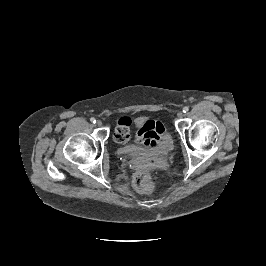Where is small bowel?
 I'll return each mask as SVG.
<instances>
[{
  "instance_id": "c3829d8e",
  "label": "small bowel",
  "mask_w": 266,
  "mask_h": 266,
  "mask_svg": "<svg viewBox=\"0 0 266 266\" xmlns=\"http://www.w3.org/2000/svg\"><path fill=\"white\" fill-rule=\"evenodd\" d=\"M130 126L131 120L128 117H122L118 120L114 134L118 142L126 143L131 139ZM165 132L164 125L156 120H146L140 125L135 141L150 150V153H148V166L150 167H153L156 163L151 152H155L154 149Z\"/></svg>"
}]
</instances>
